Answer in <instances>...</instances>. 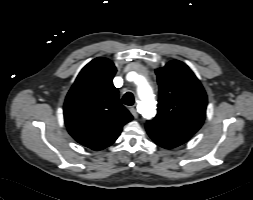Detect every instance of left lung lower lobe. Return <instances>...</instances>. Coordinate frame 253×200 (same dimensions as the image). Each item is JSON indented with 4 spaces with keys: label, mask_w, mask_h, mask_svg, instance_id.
<instances>
[{
    "label": "left lung lower lobe",
    "mask_w": 253,
    "mask_h": 200,
    "mask_svg": "<svg viewBox=\"0 0 253 200\" xmlns=\"http://www.w3.org/2000/svg\"><path fill=\"white\" fill-rule=\"evenodd\" d=\"M146 129L151 139L156 144L166 149L175 148L188 141L192 136L182 132L162 129L149 124H146Z\"/></svg>",
    "instance_id": "left-lung-lower-lobe-1"
}]
</instances>
